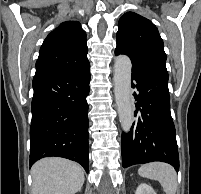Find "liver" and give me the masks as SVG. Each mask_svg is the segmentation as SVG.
Returning <instances> with one entry per match:
<instances>
[{
    "instance_id": "liver-1",
    "label": "liver",
    "mask_w": 201,
    "mask_h": 194,
    "mask_svg": "<svg viewBox=\"0 0 201 194\" xmlns=\"http://www.w3.org/2000/svg\"><path fill=\"white\" fill-rule=\"evenodd\" d=\"M31 174L32 194H75L85 180L80 165L57 157L39 160L32 166Z\"/></svg>"
}]
</instances>
